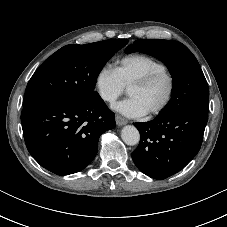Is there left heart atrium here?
<instances>
[{"label":"left heart atrium","instance_id":"left-heart-atrium-1","mask_svg":"<svg viewBox=\"0 0 227 227\" xmlns=\"http://www.w3.org/2000/svg\"><path fill=\"white\" fill-rule=\"evenodd\" d=\"M113 109L129 118H139L146 115V111L141 104L132 97L116 103Z\"/></svg>","mask_w":227,"mask_h":227}]
</instances>
